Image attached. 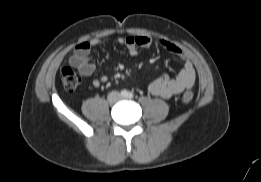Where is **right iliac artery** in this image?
Returning a JSON list of instances; mask_svg holds the SVG:
<instances>
[{
    "label": "right iliac artery",
    "instance_id": "82829eb1",
    "mask_svg": "<svg viewBox=\"0 0 261 182\" xmlns=\"http://www.w3.org/2000/svg\"><path fill=\"white\" fill-rule=\"evenodd\" d=\"M127 94H128V92H127L126 90H122V91H121V96H122V97H126Z\"/></svg>",
    "mask_w": 261,
    "mask_h": 182
}]
</instances>
